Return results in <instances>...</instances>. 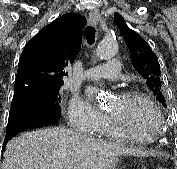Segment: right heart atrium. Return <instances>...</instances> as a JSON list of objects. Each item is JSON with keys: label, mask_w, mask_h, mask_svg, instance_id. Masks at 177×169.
Returning a JSON list of instances; mask_svg holds the SVG:
<instances>
[{"label": "right heart atrium", "mask_w": 177, "mask_h": 169, "mask_svg": "<svg viewBox=\"0 0 177 169\" xmlns=\"http://www.w3.org/2000/svg\"><path fill=\"white\" fill-rule=\"evenodd\" d=\"M68 120L77 130L93 132L105 124L107 117L79 97L74 96L69 105Z\"/></svg>", "instance_id": "right-heart-atrium-1"}]
</instances>
